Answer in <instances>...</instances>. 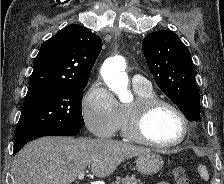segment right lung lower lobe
Masks as SVG:
<instances>
[{"label": "right lung lower lobe", "mask_w": 224, "mask_h": 184, "mask_svg": "<svg viewBox=\"0 0 224 184\" xmlns=\"http://www.w3.org/2000/svg\"><path fill=\"white\" fill-rule=\"evenodd\" d=\"M80 132L79 129H60L50 128L45 130L34 131L22 136L18 141L14 142L13 154L16 155L19 150L28 142L43 136H73Z\"/></svg>", "instance_id": "98d812e1"}]
</instances>
